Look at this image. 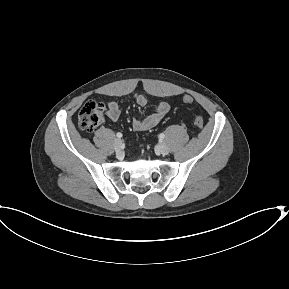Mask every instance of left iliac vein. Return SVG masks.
<instances>
[{"label":"left iliac vein","instance_id":"1","mask_svg":"<svg viewBox=\"0 0 289 289\" xmlns=\"http://www.w3.org/2000/svg\"><path fill=\"white\" fill-rule=\"evenodd\" d=\"M157 149L162 155H167L169 153V148L165 143L159 144Z\"/></svg>","mask_w":289,"mask_h":289}]
</instances>
